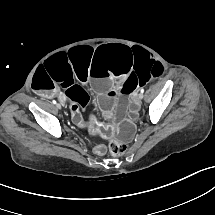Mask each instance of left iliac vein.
Segmentation results:
<instances>
[{"label":"left iliac vein","instance_id":"4c4485c4","mask_svg":"<svg viewBox=\"0 0 215 215\" xmlns=\"http://www.w3.org/2000/svg\"><path fill=\"white\" fill-rule=\"evenodd\" d=\"M143 97H144V94H143V93H139V94H138V99H139V100H141Z\"/></svg>","mask_w":215,"mask_h":215}]
</instances>
